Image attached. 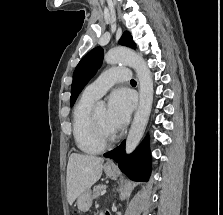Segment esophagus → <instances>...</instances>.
Returning a JSON list of instances; mask_svg holds the SVG:
<instances>
[{
	"label": "esophagus",
	"instance_id": "esophagus-1",
	"mask_svg": "<svg viewBox=\"0 0 223 215\" xmlns=\"http://www.w3.org/2000/svg\"><path fill=\"white\" fill-rule=\"evenodd\" d=\"M109 165H114V163L113 162H109Z\"/></svg>",
	"mask_w": 223,
	"mask_h": 215
}]
</instances>
